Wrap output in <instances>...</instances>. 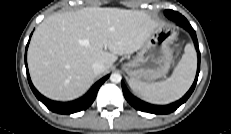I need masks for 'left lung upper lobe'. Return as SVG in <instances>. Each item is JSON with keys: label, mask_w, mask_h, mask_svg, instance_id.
<instances>
[{"label": "left lung upper lobe", "mask_w": 231, "mask_h": 134, "mask_svg": "<svg viewBox=\"0 0 231 134\" xmlns=\"http://www.w3.org/2000/svg\"><path fill=\"white\" fill-rule=\"evenodd\" d=\"M165 15L168 16V17H171L172 14H175V11H172V10H165Z\"/></svg>", "instance_id": "left-lung-upper-lobe-1"}]
</instances>
